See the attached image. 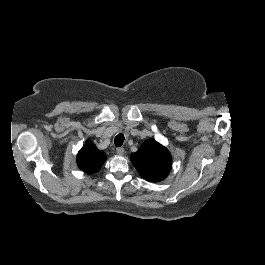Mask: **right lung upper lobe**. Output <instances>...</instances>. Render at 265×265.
<instances>
[{
  "label": "right lung upper lobe",
  "instance_id": "right-lung-upper-lobe-1",
  "mask_svg": "<svg viewBox=\"0 0 265 265\" xmlns=\"http://www.w3.org/2000/svg\"><path fill=\"white\" fill-rule=\"evenodd\" d=\"M106 160L104 152L97 149L91 142L87 141L85 146L79 151L77 164L86 173L97 172Z\"/></svg>",
  "mask_w": 265,
  "mask_h": 265
}]
</instances>
